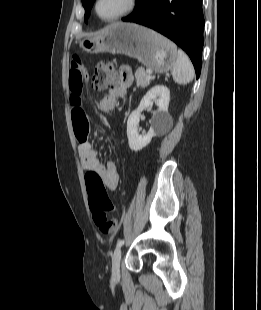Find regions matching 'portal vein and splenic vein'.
Here are the masks:
<instances>
[{
	"label": "portal vein and splenic vein",
	"instance_id": "obj_1",
	"mask_svg": "<svg viewBox=\"0 0 261 310\" xmlns=\"http://www.w3.org/2000/svg\"><path fill=\"white\" fill-rule=\"evenodd\" d=\"M154 78V76H152L151 74L147 75V79H151Z\"/></svg>",
	"mask_w": 261,
	"mask_h": 310
}]
</instances>
